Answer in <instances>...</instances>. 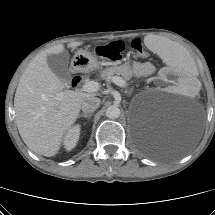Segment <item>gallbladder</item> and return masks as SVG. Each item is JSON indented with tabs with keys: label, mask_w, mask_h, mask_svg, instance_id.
I'll list each match as a JSON object with an SVG mask.
<instances>
[{
	"label": "gallbladder",
	"mask_w": 215,
	"mask_h": 215,
	"mask_svg": "<svg viewBox=\"0 0 215 215\" xmlns=\"http://www.w3.org/2000/svg\"><path fill=\"white\" fill-rule=\"evenodd\" d=\"M47 64L52 72L64 83L68 84L71 81V74L68 69L69 54L67 51H62L59 54H49L47 56Z\"/></svg>",
	"instance_id": "bac80fb5"
}]
</instances>
